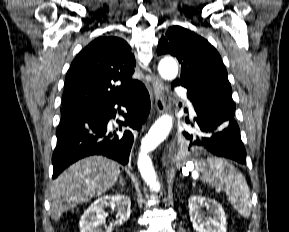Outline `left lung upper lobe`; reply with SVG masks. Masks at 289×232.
<instances>
[{"mask_svg": "<svg viewBox=\"0 0 289 232\" xmlns=\"http://www.w3.org/2000/svg\"><path fill=\"white\" fill-rule=\"evenodd\" d=\"M157 54H171L181 63L180 78L173 83L187 88L188 93L235 108L226 68L217 50L206 39L186 28L172 26L166 37H161Z\"/></svg>", "mask_w": 289, "mask_h": 232, "instance_id": "obj_1", "label": "left lung upper lobe"}]
</instances>
